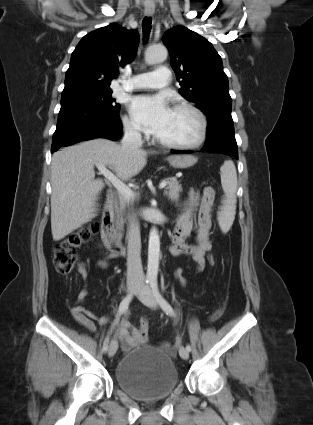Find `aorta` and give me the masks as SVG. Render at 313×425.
Instances as JSON below:
<instances>
[{
  "instance_id": "obj_1",
  "label": "aorta",
  "mask_w": 313,
  "mask_h": 425,
  "mask_svg": "<svg viewBox=\"0 0 313 425\" xmlns=\"http://www.w3.org/2000/svg\"><path fill=\"white\" fill-rule=\"evenodd\" d=\"M168 55L167 49L164 46H152L145 54V61L148 64L163 62ZM159 255H160V239L157 229L153 228L149 234L148 243V264H147V278L156 280L159 268Z\"/></svg>"
}]
</instances>
